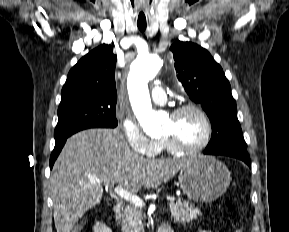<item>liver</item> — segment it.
Listing matches in <instances>:
<instances>
[{
  "label": "liver",
  "mask_w": 289,
  "mask_h": 232,
  "mask_svg": "<svg viewBox=\"0 0 289 232\" xmlns=\"http://www.w3.org/2000/svg\"><path fill=\"white\" fill-rule=\"evenodd\" d=\"M187 159H147L132 152L120 131L88 129L66 141L54 163L50 190L57 232H70L86 211L101 202L102 185L131 193L169 181Z\"/></svg>",
  "instance_id": "1"
}]
</instances>
